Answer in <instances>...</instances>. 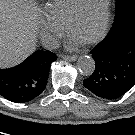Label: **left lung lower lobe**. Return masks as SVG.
<instances>
[{
  "mask_svg": "<svg viewBox=\"0 0 135 135\" xmlns=\"http://www.w3.org/2000/svg\"><path fill=\"white\" fill-rule=\"evenodd\" d=\"M93 74L84 86L104 99H117L135 85V15L113 24L106 38L92 51Z\"/></svg>",
  "mask_w": 135,
  "mask_h": 135,
  "instance_id": "obj_1",
  "label": "left lung lower lobe"
}]
</instances>
